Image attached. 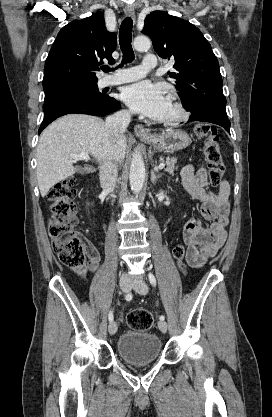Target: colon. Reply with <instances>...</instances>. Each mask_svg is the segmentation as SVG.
<instances>
[{
  "instance_id": "colon-1",
  "label": "colon",
  "mask_w": 272,
  "mask_h": 417,
  "mask_svg": "<svg viewBox=\"0 0 272 417\" xmlns=\"http://www.w3.org/2000/svg\"><path fill=\"white\" fill-rule=\"evenodd\" d=\"M194 132L198 138L205 139L204 156L209 179L213 185H218L224 174V164L217 129L211 124L200 123L195 126ZM75 184V179L69 177L56 183L48 193L51 213L48 233L58 258L69 266L83 265L86 255V245L74 230L77 223L76 207L72 201L76 195ZM185 253L186 247L182 244L173 249V257L183 273L186 271ZM127 324L132 329L146 331L153 326L154 315L147 309H136L127 315Z\"/></svg>"
}]
</instances>
